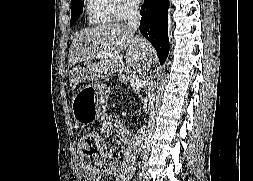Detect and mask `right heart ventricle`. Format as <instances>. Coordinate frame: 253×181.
Returning <instances> with one entry per match:
<instances>
[{
	"mask_svg": "<svg viewBox=\"0 0 253 181\" xmlns=\"http://www.w3.org/2000/svg\"><path fill=\"white\" fill-rule=\"evenodd\" d=\"M86 20L91 25H105L112 22L110 0H84Z\"/></svg>",
	"mask_w": 253,
	"mask_h": 181,
	"instance_id": "e07e8e85",
	"label": "right heart ventricle"
}]
</instances>
